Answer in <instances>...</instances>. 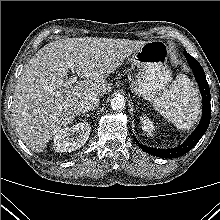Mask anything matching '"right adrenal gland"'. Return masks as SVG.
I'll return each instance as SVG.
<instances>
[{"instance_id": "2a0ac1e0", "label": "right adrenal gland", "mask_w": 220, "mask_h": 220, "mask_svg": "<svg viewBox=\"0 0 220 220\" xmlns=\"http://www.w3.org/2000/svg\"><path fill=\"white\" fill-rule=\"evenodd\" d=\"M92 114H83L82 116L85 117V118H88L90 117Z\"/></svg>"}]
</instances>
